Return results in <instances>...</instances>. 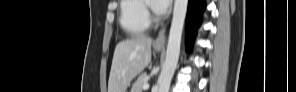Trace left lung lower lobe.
Wrapping results in <instances>:
<instances>
[{
    "mask_svg": "<svg viewBox=\"0 0 296 92\" xmlns=\"http://www.w3.org/2000/svg\"><path fill=\"white\" fill-rule=\"evenodd\" d=\"M204 8L205 0H189L186 18V38L188 48H190L196 30L201 23Z\"/></svg>",
    "mask_w": 296,
    "mask_h": 92,
    "instance_id": "0a47b994",
    "label": "left lung lower lobe"
}]
</instances>
